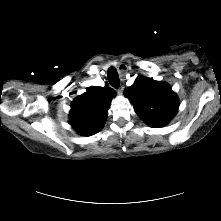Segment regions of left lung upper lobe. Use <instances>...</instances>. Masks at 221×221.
Returning a JSON list of instances; mask_svg holds the SVG:
<instances>
[{"instance_id":"5c2ea615","label":"left lung upper lobe","mask_w":221,"mask_h":221,"mask_svg":"<svg viewBox=\"0 0 221 221\" xmlns=\"http://www.w3.org/2000/svg\"><path fill=\"white\" fill-rule=\"evenodd\" d=\"M136 114L150 127L164 126L178 110V99L171 87L162 81L138 77L134 84L125 88Z\"/></svg>"}]
</instances>
